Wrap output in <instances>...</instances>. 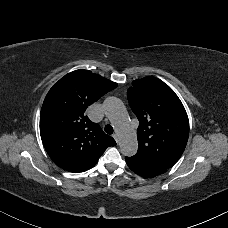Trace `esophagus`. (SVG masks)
Wrapping results in <instances>:
<instances>
[{"label":"esophagus","mask_w":228,"mask_h":228,"mask_svg":"<svg viewBox=\"0 0 228 228\" xmlns=\"http://www.w3.org/2000/svg\"><path fill=\"white\" fill-rule=\"evenodd\" d=\"M113 138L115 139L116 142H118V135L117 134H113Z\"/></svg>","instance_id":"34e87169"}]
</instances>
